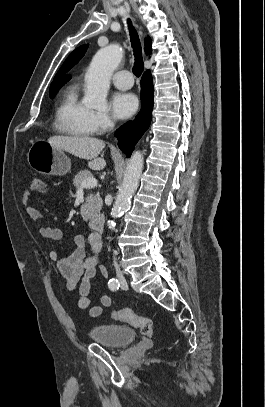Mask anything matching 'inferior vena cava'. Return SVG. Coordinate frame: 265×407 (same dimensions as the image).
Listing matches in <instances>:
<instances>
[{
    "label": "inferior vena cava",
    "mask_w": 265,
    "mask_h": 407,
    "mask_svg": "<svg viewBox=\"0 0 265 407\" xmlns=\"http://www.w3.org/2000/svg\"><path fill=\"white\" fill-rule=\"evenodd\" d=\"M107 124H108V126H109L110 128H113V127H114V122H113L111 119H107ZM116 254H117V252L114 251V267H115V269H116L117 277H118V278H122V277H123V274H122V272H121V270H120V267H119V265H118V263H117V261H116V258H115V255H116Z\"/></svg>",
    "instance_id": "inferior-vena-cava-1"
}]
</instances>
